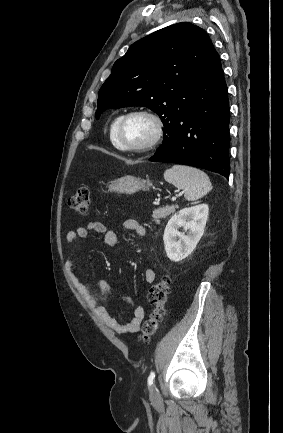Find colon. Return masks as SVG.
<instances>
[{"label": "colon", "mask_w": 283, "mask_h": 433, "mask_svg": "<svg viewBox=\"0 0 283 433\" xmlns=\"http://www.w3.org/2000/svg\"><path fill=\"white\" fill-rule=\"evenodd\" d=\"M69 207L78 214H87L91 206L90 191L87 187H78L74 194L69 198ZM171 292V281L168 277H163L148 292V301L153 307L149 318L142 325L141 339L149 341L155 333L164 314L166 304Z\"/></svg>", "instance_id": "colon-1"}]
</instances>
